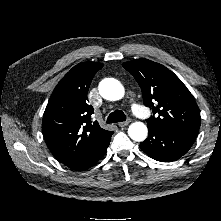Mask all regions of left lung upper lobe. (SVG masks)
<instances>
[{"mask_svg":"<svg viewBox=\"0 0 221 221\" xmlns=\"http://www.w3.org/2000/svg\"><path fill=\"white\" fill-rule=\"evenodd\" d=\"M123 67L138 82L143 102L152 109L147 125L174 132L197 134L200 111L194 97L182 81L169 69L148 59L125 62Z\"/></svg>","mask_w":221,"mask_h":221,"instance_id":"5c2ea615","label":"left lung upper lobe"}]
</instances>
